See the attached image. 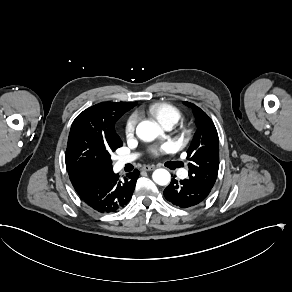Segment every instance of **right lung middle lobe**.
I'll use <instances>...</instances> for the list:
<instances>
[{"label": "right lung middle lobe", "instance_id": "obj_1", "mask_svg": "<svg viewBox=\"0 0 292 292\" xmlns=\"http://www.w3.org/2000/svg\"><path fill=\"white\" fill-rule=\"evenodd\" d=\"M80 113L74 120L67 143L65 162L67 171L112 170L111 153L123 145L115 131L99 122H91Z\"/></svg>", "mask_w": 292, "mask_h": 292}]
</instances>
